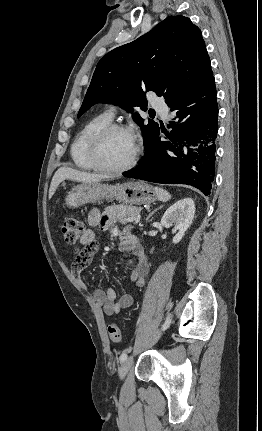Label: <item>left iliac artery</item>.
I'll return each instance as SVG.
<instances>
[{
	"label": "left iliac artery",
	"mask_w": 262,
	"mask_h": 431,
	"mask_svg": "<svg viewBox=\"0 0 262 431\" xmlns=\"http://www.w3.org/2000/svg\"><path fill=\"white\" fill-rule=\"evenodd\" d=\"M170 322H171V318H170V315H168V316H167V319H166V321H165V323H164V324H163V326H162V329H163V330L167 329V328L169 327V325H170ZM126 358H127V354H126V353H123V354L120 356V361H121V362H123V361H125V360H126Z\"/></svg>",
	"instance_id": "left-iliac-artery-1"
}]
</instances>
